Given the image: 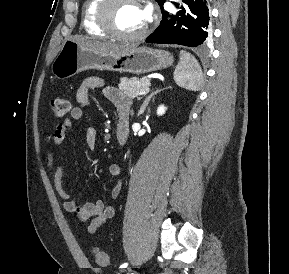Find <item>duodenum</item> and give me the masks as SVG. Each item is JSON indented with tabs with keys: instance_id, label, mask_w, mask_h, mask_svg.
I'll return each mask as SVG.
<instances>
[{
	"instance_id": "obj_1",
	"label": "duodenum",
	"mask_w": 289,
	"mask_h": 274,
	"mask_svg": "<svg viewBox=\"0 0 289 274\" xmlns=\"http://www.w3.org/2000/svg\"><path fill=\"white\" fill-rule=\"evenodd\" d=\"M129 114L119 113V119L116 125V138L120 145H124L129 134Z\"/></svg>"
}]
</instances>
